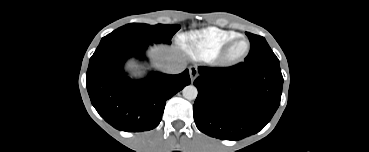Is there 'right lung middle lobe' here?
Wrapping results in <instances>:
<instances>
[{"mask_svg":"<svg viewBox=\"0 0 369 152\" xmlns=\"http://www.w3.org/2000/svg\"><path fill=\"white\" fill-rule=\"evenodd\" d=\"M179 29H180L179 25H163V24L148 25L141 23H132L124 25L114 30L106 37H103L102 40L127 36L140 40H145L150 43L163 42L170 44L173 35Z\"/></svg>","mask_w":369,"mask_h":152,"instance_id":"dd1d6c3e","label":"right lung middle lobe"}]
</instances>
